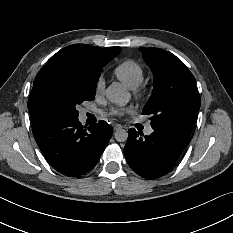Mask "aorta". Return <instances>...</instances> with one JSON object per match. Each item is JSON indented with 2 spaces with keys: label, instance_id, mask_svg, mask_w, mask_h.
I'll list each match as a JSON object with an SVG mask.
<instances>
[{
  "label": "aorta",
  "instance_id": "obj_1",
  "mask_svg": "<svg viewBox=\"0 0 233 233\" xmlns=\"http://www.w3.org/2000/svg\"><path fill=\"white\" fill-rule=\"evenodd\" d=\"M106 98L115 104L126 105L129 102L130 94L120 83H113L106 89ZM128 138V132L125 129L115 131V139L118 142H124Z\"/></svg>",
  "mask_w": 233,
  "mask_h": 233
}]
</instances>
